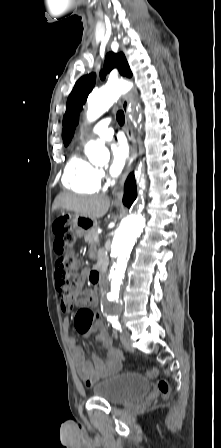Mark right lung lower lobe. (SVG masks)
I'll list each match as a JSON object with an SVG mask.
<instances>
[{
  "mask_svg": "<svg viewBox=\"0 0 221 448\" xmlns=\"http://www.w3.org/2000/svg\"><path fill=\"white\" fill-rule=\"evenodd\" d=\"M137 197L136 184L134 174H130L125 183L123 203L130 207Z\"/></svg>",
  "mask_w": 221,
  "mask_h": 448,
  "instance_id": "1",
  "label": "right lung lower lobe"
}]
</instances>
